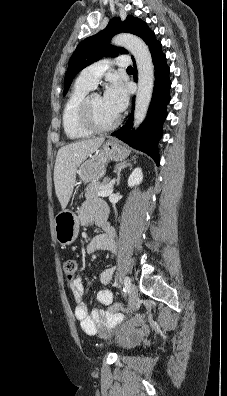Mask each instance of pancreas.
<instances>
[{"instance_id": "pancreas-1", "label": "pancreas", "mask_w": 227, "mask_h": 396, "mask_svg": "<svg viewBox=\"0 0 227 396\" xmlns=\"http://www.w3.org/2000/svg\"><path fill=\"white\" fill-rule=\"evenodd\" d=\"M110 185L109 180H105L104 182H91L88 184L85 192L86 198H93L100 196L99 192L105 190Z\"/></svg>"}]
</instances>
